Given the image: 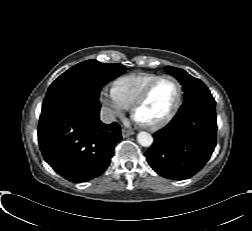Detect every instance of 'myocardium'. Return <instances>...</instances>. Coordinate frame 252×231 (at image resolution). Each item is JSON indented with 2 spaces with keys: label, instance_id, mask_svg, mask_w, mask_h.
Returning a JSON list of instances; mask_svg holds the SVG:
<instances>
[{
  "label": "myocardium",
  "instance_id": "f54148a6",
  "mask_svg": "<svg viewBox=\"0 0 252 231\" xmlns=\"http://www.w3.org/2000/svg\"><path fill=\"white\" fill-rule=\"evenodd\" d=\"M163 79H171L175 82L177 86V96L175 103L170 110V112L161 120L155 122V123H142V125L149 129V130H158L160 128H163L167 124H169L172 119L176 116L177 112L179 111L181 104H182V99H183V86L181 82L173 75L169 74H164L160 75L157 77L155 80H153L140 94V96L136 99V101L132 105V112L134 116L136 117V112L139 109L140 106H142L145 101L149 98L153 88Z\"/></svg>",
  "mask_w": 252,
  "mask_h": 231
}]
</instances>
